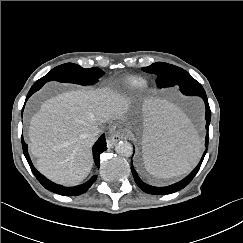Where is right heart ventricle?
Masks as SVG:
<instances>
[{"label": "right heart ventricle", "instance_id": "1", "mask_svg": "<svg viewBox=\"0 0 243 243\" xmlns=\"http://www.w3.org/2000/svg\"><path fill=\"white\" fill-rule=\"evenodd\" d=\"M124 86L131 92H137L143 89L146 82L144 79L131 76L124 80L123 82Z\"/></svg>", "mask_w": 243, "mask_h": 243}]
</instances>
